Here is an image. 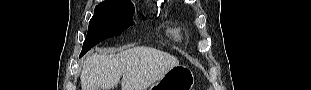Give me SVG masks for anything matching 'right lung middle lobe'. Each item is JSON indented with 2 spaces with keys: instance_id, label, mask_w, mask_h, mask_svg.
<instances>
[{
  "instance_id": "right-lung-middle-lobe-1",
  "label": "right lung middle lobe",
  "mask_w": 311,
  "mask_h": 90,
  "mask_svg": "<svg viewBox=\"0 0 311 90\" xmlns=\"http://www.w3.org/2000/svg\"><path fill=\"white\" fill-rule=\"evenodd\" d=\"M134 11V5L126 3L102 2L96 6L94 16L89 22L81 56L97 43L121 35L124 30L133 25Z\"/></svg>"
}]
</instances>
